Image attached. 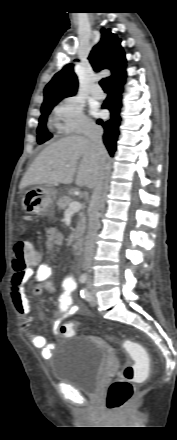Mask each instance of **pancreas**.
<instances>
[{
    "label": "pancreas",
    "instance_id": "obj_1",
    "mask_svg": "<svg viewBox=\"0 0 177 440\" xmlns=\"http://www.w3.org/2000/svg\"><path fill=\"white\" fill-rule=\"evenodd\" d=\"M73 202L72 198L68 196H63L58 199L57 206L59 210H67L68 205ZM86 227V216L83 212L79 214V221L77 223V227L74 233V239H78L85 230Z\"/></svg>",
    "mask_w": 177,
    "mask_h": 440
}]
</instances>
